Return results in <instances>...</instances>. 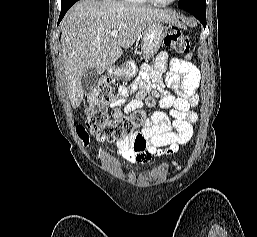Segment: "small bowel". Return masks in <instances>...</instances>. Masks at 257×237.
<instances>
[{
  "label": "small bowel",
  "mask_w": 257,
  "mask_h": 237,
  "mask_svg": "<svg viewBox=\"0 0 257 237\" xmlns=\"http://www.w3.org/2000/svg\"><path fill=\"white\" fill-rule=\"evenodd\" d=\"M167 61L168 55L161 52L152 67H141L131 85L118 88L111 104L114 118L143 107L146 94L154 89L152 83L159 79ZM199 81L200 74L193 63L172 59L166 85L174 92L163 91L159 102L161 109H170L169 115L163 111L154 112L139 132L117 143L116 153L126 161L141 166L148 164L153 157L173 154L180 145L189 142L193 135V123L197 120L192 107L198 103L196 89ZM129 94H133V98L122 109Z\"/></svg>",
  "instance_id": "1"
}]
</instances>
